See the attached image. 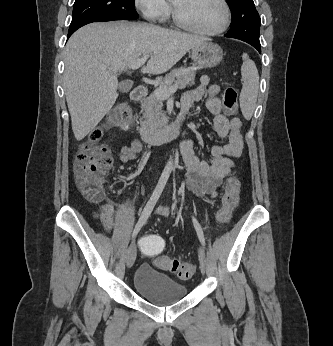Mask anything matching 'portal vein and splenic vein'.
I'll list each match as a JSON object with an SVG mask.
<instances>
[{
	"mask_svg": "<svg viewBox=\"0 0 333 346\" xmlns=\"http://www.w3.org/2000/svg\"><path fill=\"white\" fill-rule=\"evenodd\" d=\"M148 58H149V55H144L143 57H141V59L131 64L129 68L134 70V69H138L142 67ZM177 89H178V84H174L169 88H157L155 90V94L160 99H167L170 97V95L175 93Z\"/></svg>",
	"mask_w": 333,
	"mask_h": 346,
	"instance_id": "portal-vein-and-splenic-vein-1",
	"label": "portal vein and splenic vein"
}]
</instances>
